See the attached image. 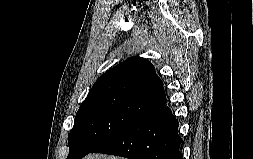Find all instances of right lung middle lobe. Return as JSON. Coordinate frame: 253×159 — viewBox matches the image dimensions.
I'll use <instances>...</instances> for the list:
<instances>
[{"label":"right lung middle lobe","mask_w":253,"mask_h":159,"mask_svg":"<svg viewBox=\"0 0 253 159\" xmlns=\"http://www.w3.org/2000/svg\"><path fill=\"white\" fill-rule=\"evenodd\" d=\"M157 107L154 103L127 96L85 99L68 137L67 159H81Z\"/></svg>","instance_id":"right-lung-middle-lobe-1"}]
</instances>
